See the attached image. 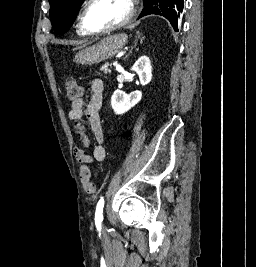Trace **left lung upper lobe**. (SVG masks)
Listing matches in <instances>:
<instances>
[{
    "mask_svg": "<svg viewBox=\"0 0 256 267\" xmlns=\"http://www.w3.org/2000/svg\"><path fill=\"white\" fill-rule=\"evenodd\" d=\"M50 19L57 34H64L73 24L84 0H49ZM145 6L139 18L157 14L166 17L170 23L174 19V0H144Z\"/></svg>",
    "mask_w": 256,
    "mask_h": 267,
    "instance_id": "obj_1",
    "label": "left lung upper lobe"
}]
</instances>
